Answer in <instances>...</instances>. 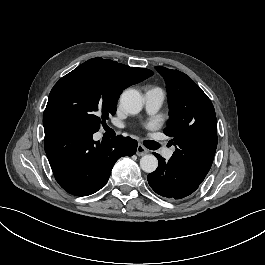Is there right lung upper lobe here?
I'll use <instances>...</instances> for the list:
<instances>
[{
  "label": "right lung upper lobe",
  "instance_id": "cb5924a9",
  "mask_svg": "<svg viewBox=\"0 0 265 265\" xmlns=\"http://www.w3.org/2000/svg\"><path fill=\"white\" fill-rule=\"evenodd\" d=\"M92 60L99 62L103 68H105L108 75L123 89L139 83L153 75L151 70L128 67L112 60H106L99 57L93 58Z\"/></svg>",
  "mask_w": 265,
  "mask_h": 265
}]
</instances>
